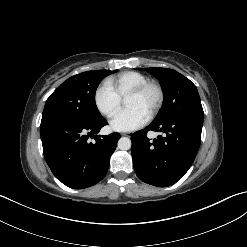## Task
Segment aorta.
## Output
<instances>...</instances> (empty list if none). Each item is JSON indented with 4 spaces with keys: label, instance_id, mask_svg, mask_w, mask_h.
Here are the masks:
<instances>
[{
    "label": "aorta",
    "instance_id": "aorta-1",
    "mask_svg": "<svg viewBox=\"0 0 247 247\" xmlns=\"http://www.w3.org/2000/svg\"><path fill=\"white\" fill-rule=\"evenodd\" d=\"M131 140L128 137H121L118 141V148L120 150H129L131 148Z\"/></svg>",
    "mask_w": 247,
    "mask_h": 247
}]
</instances>
